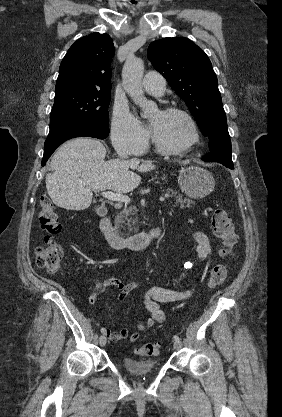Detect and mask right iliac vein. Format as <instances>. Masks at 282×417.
<instances>
[{"label": "right iliac vein", "mask_w": 282, "mask_h": 417, "mask_svg": "<svg viewBox=\"0 0 282 417\" xmlns=\"http://www.w3.org/2000/svg\"><path fill=\"white\" fill-rule=\"evenodd\" d=\"M106 341H107L106 335H101L100 338H99V344L101 346H105Z\"/></svg>", "instance_id": "right-iliac-vein-1"}]
</instances>
